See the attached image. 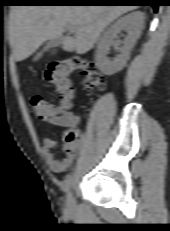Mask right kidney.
<instances>
[{"instance_id":"right-kidney-1","label":"right kidney","mask_w":170,"mask_h":231,"mask_svg":"<svg viewBox=\"0 0 170 231\" xmlns=\"http://www.w3.org/2000/svg\"><path fill=\"white\" fill-rule=\"evenodd\" d=\"M143 27L144 14L136 11L118 19L103 33L95 54L96 66L102 73L110 76L123 69L129 59L130 51L140 37ZM122 30L127 32L122 42L123 47L120 49L119 55L114 59H110L107 57L110 47L121 43L116 38Z\"/></svg>"}]
</instances>
